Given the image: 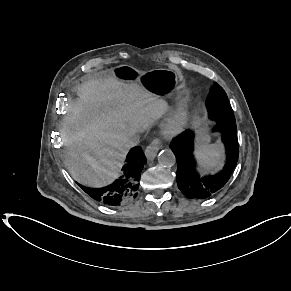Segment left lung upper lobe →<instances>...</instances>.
<instances>
[{"instance_id":"5c2ea615","label":"left lung upper lobe","mask_w":291,"mask_h":291,"mask_svg":"<svg viewBox=\"0 0 291 291\" xmlns=\"http://www.w3.org/2000/svg\"><path fill=\"white\" fill-rule=\"evenodd\" d=\"M207 109L210 119H222L224 122L236 123L228 97L223 88L217 83L211 88L207 100Z\"/></svg>"}]
</instances>
